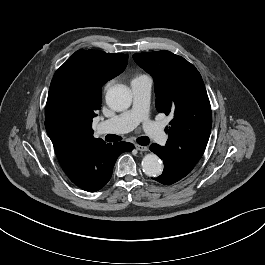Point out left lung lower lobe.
Returning a JSON list of instances; mask_svg holds the SVG:
<instances>
[{"instance_id": "0a47b994", "label": "left lung lower lobe", "mask_w": 265, "mask_h": 265, "mask_svg": "<svg viewBox=\"0 0 265 265\" xmlns=\"http://www.w3.org/2000/svg\"><path fill=\"white\" fill-rule=\"evenodd\" d=\"M150 150L165 162L163 173L159 177L153 178L155 181L164 185H171L187 175V173L180 170L172 161L167 159V152L163 147L152 144Z\"/></svg>"}]
</instances>
